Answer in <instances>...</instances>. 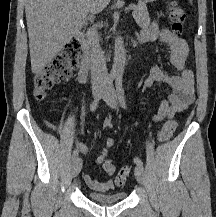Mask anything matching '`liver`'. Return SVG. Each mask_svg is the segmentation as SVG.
Returning <instances> with one entry per match:
<instances>
[{"instance_id":"6515ba94","label":"liver","mask_w":216,"mask_h":217,"mask_svg":"<svg viewBox=\"0 0 216 217\" xmlns=\"http://www.w3.org/2000/svg\"><path fill=\"white\" fill-rule=\"evenodd\" d=\"M111 0H25L31 70L39 74Z\"/></svg>"}]
</instances>
